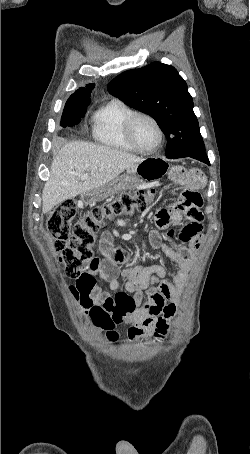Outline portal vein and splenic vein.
Listing matches in <instances>:
<instances>
[{"mask_svg": "<svg viewBox=\"0 0 250 454\" xmlns=\"http://www.w3.org/2000/svg\"><path fill=\"white\" fill-rule=\"evenodd\" d=\"M79 176H80V178H81L82 180H85V179L88 178L89 175H88L87 173H83V174H81V175H79Z\"/></svg>", "mask_w": 250, "mask_h": 454, "instance_id": "1", "label": "portal vein and splenic vein"}]
</instances>
